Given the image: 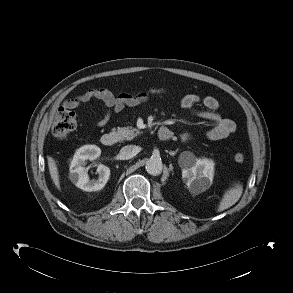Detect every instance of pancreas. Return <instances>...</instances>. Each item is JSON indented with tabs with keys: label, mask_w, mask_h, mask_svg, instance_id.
I'll return each mask as SVG.
<instances>
[{
	"label": "pancreas",
	"mask_w": 293,
	"mask_h": 293,
	"mask_svg": "<svg viewBox=\"0 0 293 293\" xmlns=\"http://www.w3.org/2000/svg\"><path fill=\"white\" fill-rule=\"evenodd\" d=\"M116 134L118 135L119 140L123 141V140H132L136 136L140 135L141 132L138 129L133 128L132 126H127V127H118Z\"/></svg>",
	"instance_id": "obj_1"
}]
</instances>
